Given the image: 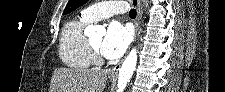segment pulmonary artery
Listing matches in <instances>:
<instances>
[{"instance_id": "obj_1", "label": "pulmonary artery", "mask_w": 225, "mask_h": 92, "mask_svg": "<svg viewBox=\"0 0 225 92\" xmlns=\"http://www.w3.org/2000/svg\"><path fill=\"white\" fill-rule=\"evenodd\" d=\"M125 5L118 1L100 2L85 8L81 15L89 22H96L124 11Z\"/></svg>"}]
</instances>
